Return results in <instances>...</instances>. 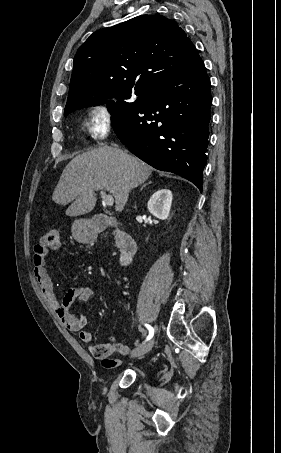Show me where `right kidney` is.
<instances>
[{"mask_svg":"<svg viewBox=\"0 0 281 453\" xmlns=\"http://www.w3.org/2000/svg\"><path fill=\"white\" fill-rule=\"evenodd\" d=\"M172 202V192L169 188L156 190L148 200V210L157 218H168Z\"/></svg>","mask_w":281,"mask_h":453,"instance_id":"right-kidney-1","label":"right kidney"}]
</instances>
